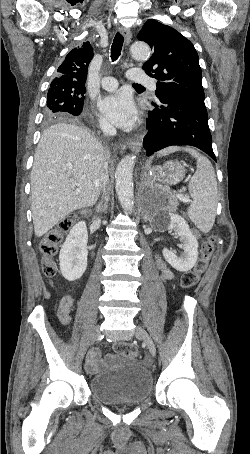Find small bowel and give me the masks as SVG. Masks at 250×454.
Segmentation results:
<instances>
[{
	"mask_svg": "<svg viewBox=\"0 0 250 454\" xmlns=\"http://www.w3.org/2000/svg\"><path fill=\"white\" fill-rule=\"evenodd\" d=\"M159 268L161 270L162 277L166 280L171 279L172 273L169 269L159 261ZM73 308V298L71 295L66 294L60 301L58 310H57V317L60 323L64 326H70L72 323V318L70 316V312ZM113 357H107L105 359H101V353L99 350L95 349L92 350L86 360V369L89 373H96L101 368L110 365L113 363Z\"/></svg>",
	"mask_w": 250,
	"mask_h": 454,
	"instance_id": "small-bowel-1",
	"label": "small bowel"
}]
</instances>
